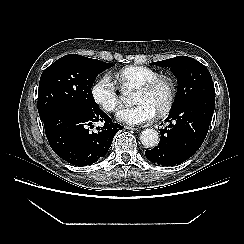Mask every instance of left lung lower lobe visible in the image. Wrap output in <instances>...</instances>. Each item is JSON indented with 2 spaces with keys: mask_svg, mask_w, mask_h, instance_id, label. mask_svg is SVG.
<instances>
[{
  "mask_svg": "<svg viewBox=\"0 0 244 244\" xmlns=\"http://www.w3.org/2000/svg\"><path fill=\"white\" fill-rule=\"evenodd\" d=\"M214 109V97L194 98L171 109L166 118L170 122L168 128L160 129V142L145 151L146 158L163 166H174L189 159L202 145Z\"/></svg>",
  "mask_w": 244,
  "mask_h": 244,
  "instance_id": "0a47b994",
  "label": "left lung lower lobe"
}]
</instances>
